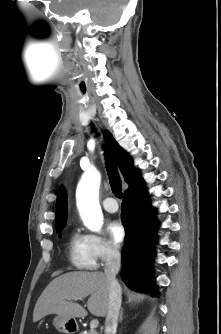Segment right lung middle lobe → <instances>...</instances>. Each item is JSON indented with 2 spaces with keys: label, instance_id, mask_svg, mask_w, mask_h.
I'll return each instance as SVG.
<instances>
[{
  "label": "right lung middle lobe",
  "instance_id": "obj_1",
  "mask_svg": "<svg viewBox=\"0 0 221 334\" xmlns=\"http://www.w3.org/2000/svg\"><path fill=\"white\" fill-rule=\"evenodd\" d=\"M63 228H58L56 229L57 232H60Z\"/></svg>",
  "mask_w": 221,
  "mask_h": 334
}]
</instances>
